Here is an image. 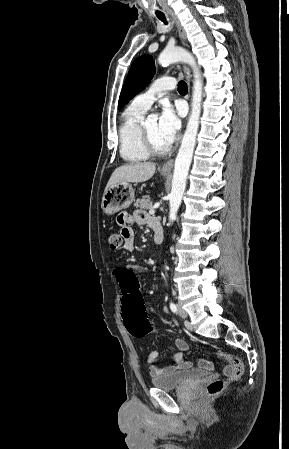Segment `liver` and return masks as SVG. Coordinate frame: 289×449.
<instances>
[{
  "label": "liver",
  "instance_id": "liver-1",
  "mask_svg": "<svg viewBox=\"0 0 289 449\" xmlns=\"http://www.w3.org/2000/svg\"><path fill=\"white\" fill-rule=\"evenodd\" d=\"M156 166L154 163L142 162V163H130L122 165L115 169L112 173L105 191L120 182H145L149 180L155 173Z\"/></svg>",
  "mask_w": 289,
  "mask_h": 449
}]
</instances>
